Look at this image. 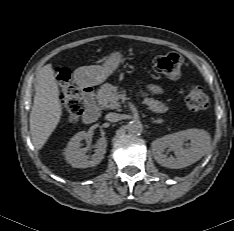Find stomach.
I'll return each instance as SVG.
<instances>
[{
  "instance_id": "1",
  "label": "stomach",
  "mask_w": 234,
  "mask_h": 231,
  "mask_svg": "<svg viewBox=\"0 0 234 231\" xmlns=\"http://www.w3.org/2000/svg\"><path fill=\"white\" fill-rule=\"evenodd\" d=\"M122 59L121 52H113L102 65L83 66L76 69L74 73L75 80L81 86L99 85L114 73Z\"/></svg>"
}]
</instances>
